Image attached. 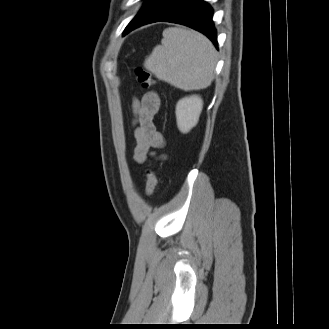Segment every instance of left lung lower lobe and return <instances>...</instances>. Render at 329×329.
Here are the masks:
<instances>
[{
  "label": "left lung lower lobe",
  "instance_id": "0a47b994",
  "mask_svg": "<svg viewBox=\"0 0 329 329\" xmlns=\"http://www.w3.org/2000/svg\"><path fill=\"white\" fill-rule=\"evenodd\" d=\"M212 15V8L202 0H147L124 30V35L142 25L165 21L182 24L203 33L217 48Z\"/></svg>",
  "mask_w": 329,
  "mask_h": 329
}]
</instances>
